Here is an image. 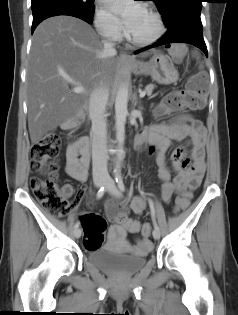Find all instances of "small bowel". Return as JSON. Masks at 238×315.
Here are the masks:
<instances>
[{"instance_id":"c3829d8e","label":"small bowel","mask_w":238,"mask_h":315,"mask_svg":"<svg viewBox=\"0 0 238 315\" xmlns=\"http://www.w3.org/2000/svg\"><path fill=\"white\" fill-rule=\"evenodd\" d=\"M187 138L191 146L193 164L188 167L189 159L183 148L175 150L172 157L174 170L177 172L171 180L170 171L166 161V153L171 147L172 140ZM206 130L203 125L194 119L183 123L179 128H171L165 123H155L142 129L136 136L135 142L138 149L148 146L149 153L155 155L158 165V177L161 181V199L169 202L175 193L191 196L190 190L195 189L201 182L205 172L204 143ZM91 161L90 143L86 138H79L72 142L67 149L66 173L77 181L84 182L88 177ZM188 167V168H187ZM186 168V169H185ZM183 169V170H182ZM60 194L69 198L73 194V187L65 184L60 189ZM78 197L76 203L80 200ZM130 210L140 216L147 207V202L142 197H134L129 206ZM141 223L137 219H125L122 223L112 225L108 230L110 239L124 238L127 233H136L140 230ZM152 248L148 239H138L132 252L145 254Z\"/></svg>"}]
</instances>
